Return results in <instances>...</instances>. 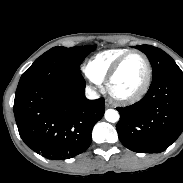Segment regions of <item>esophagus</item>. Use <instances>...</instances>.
Masks as SVG:
<instances>
[{"label": "esophagus", "mask_w": 183, "mask_h": 183, "mask_svg": "<svg viewBox=\"0 0 183 183\" xmlns=\"http://www.w3.org/2000/svg\"><path fill=\"white\" fill-rule=\"evenodd\" d=\"M105 107H106V108L111 107V104H110V102H109V101H106V102H105Z\"/></svg>", "instance_id": "1"}]
</instances>
